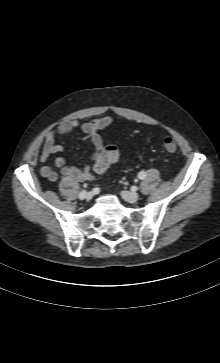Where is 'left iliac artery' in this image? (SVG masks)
Segmentation results:
<instances>
[{"mask_svg": "<svg viewBox=\"0 0 220 363\" xmlns=\"http://www.w3.org/2000/svg\"><path fill=\"white\" fill-rule=\"evenodd\" d=\"M146 177V172L144 171H141L139 174H138V178L139 179H144Z\"/></svg>", "mask_w": 220, "mask_h": 363, "instance_id": "44dca946", "label": "left iliac artery"}]
</instances>
